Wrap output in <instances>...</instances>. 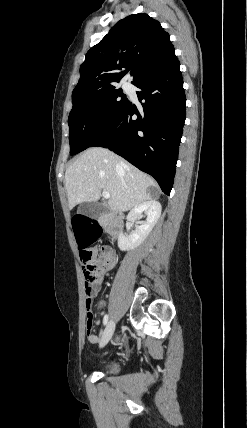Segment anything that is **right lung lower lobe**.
<instances>
[{"label": "right lung lower lobe", "instance_id": "98d812e1", "mask_svg": "<svg viewBox=\"0 0 247 428\" xmlns=\"http://www.w3.org/2000/svg\"><path fill=\"white\" fill-rule=\"evenodd\" d=\"M142 103L140 115L129 102L122 114L90 147H105L153 176L169 195L186 118V97L180 63H168L135 84ZM137 119H132L133 114Z\"/></svg>", "mask_w": 247, "mask_h": 428}]
</instances>
